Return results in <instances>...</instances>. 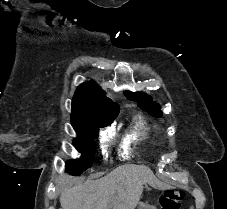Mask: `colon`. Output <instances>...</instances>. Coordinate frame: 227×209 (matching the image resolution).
<instances>
[{
	"label": "colon",
	"mask_w": 227,
	"mask_h": 209,
	"mask_svg": "<svg viewBox=\"0 0 227 209\" xmlns=\"http://www.w3.org/2000/svg\"><path fill=\"white\" fill-rule=\"evenodd\" d=\"M184 197L181 190L166 189L159 198L160 209H180Z\"/></svg>",
	"instance_id": "1"
}]
</instances>
